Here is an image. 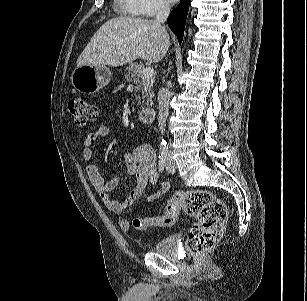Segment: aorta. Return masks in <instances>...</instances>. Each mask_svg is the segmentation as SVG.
Returning a JSON list of instances; mask_svg holds the SVG:
<instances>
[{"label":"aorta","mask_w":307,"mask_h":301,"mask_svg":"<svg viewBox=\"0 0 307 301\" xmlns=\"http://www.w3.org/2000/svg\"><path fill=\"white\" fill-rule=\"evenodd\" d=\"M166 145V141L162 138L161 142H160V146H165Z\"/></svg>","instance_id":"762f6f07"}]
</instances>
